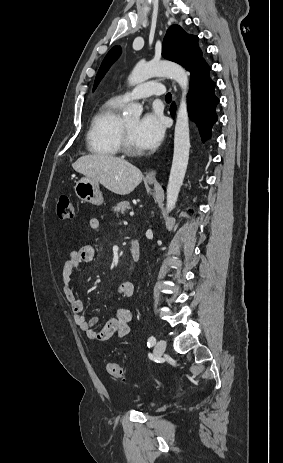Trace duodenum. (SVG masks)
Segmentation results:
<instances>
[{"mask_svg":"<svg viewBox=\"0 0 283 463\" xmlns=\"http://www.w3.org/2000/svg\"><path fill=\"white\" fill-rule=\"evenodd\" d=\"M140 243L136 238H133L130 242L131 260L133 263H137L140 259Z\"/></svg>","mask_w":283,"mask_h":463,"instance_id":"410a0bca","label":"duodenum"}]
</instances>
